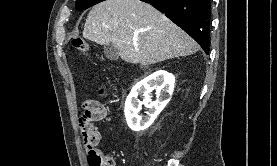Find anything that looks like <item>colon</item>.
<instances>
[{
    "instance_id": "colon-1",
    "label": "colon",
    "mask_w": 277,
    "mask_h": 166,
    "mask_svg": "<svg viewBox=\"0 0 277 166\" xmlns=\"http://www.w3.org/2000/svg\"><path fill=\"white\" fill-rule=\"evenodd\" d=\"M73 46L82 56L88 57L92 53L90 44L82 38L74 39ZM105 93L106 88L101 87L99 90V94L104 95ZM80 121V128L85 137V140H87L91 145H94L98 138V132L91 121L90 112L88 111L85 115L81 116ZM89 163L90 166H115L113 155L101 152L96 148V146L95 148H93Z\"/></svg>"
}]
</instances>
